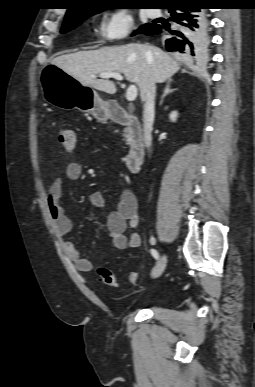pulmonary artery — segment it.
<instances>
[{
    "mask_svg": "<svg viewBox=\"0 0 255 387\" xmlns=\"http://www.w3.org/2000/svg\"><path fill=\"white\" fill-rule=\"evenodd\" d=\"M161 14V11L159 9H149L148 10V15L151 17V18H156V17H159Z\"/></svg>",
    "mask_w": 255,
    "mask_h": 387,
    "instance_id": "e3ab8cb5",
    "label": "pulmonary artery"
}]
</instances>
